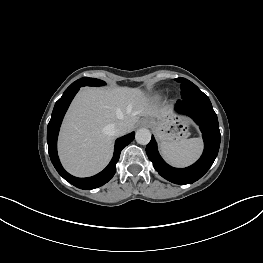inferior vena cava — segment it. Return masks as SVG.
Returning a JSON list of instances; mask_svg holds the SVG:
<instances>
[{
    "label": "inferior vena cava",
    "mask_w": 263,
    "mask_h": 263,
    "mask_svg": "<svg viewBox=\"0 0 263 263\" xmlns=\"http://www.w3.org/2000/svg\"><path fill=\"white\" fill-rule=\"evenodd\" d=\"M106 130L113 136H120L126 133L127 126L122 121H117L116 123L109 124Z\"/></svg>",
    "instance_id": "obj_1"
}]
</instances>
